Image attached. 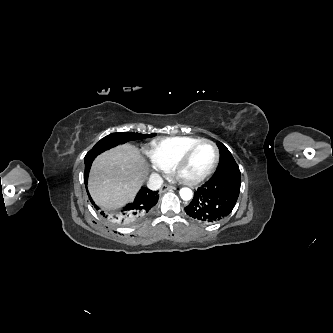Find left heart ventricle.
Returning a JSON list of instances; mask_svg holds the SVG:
<instances>
[{
  "label": "left heart ventricle",
  "mask_w": 333,
  "mask_h": 333,
  "mask_svg": "<svg viewBox=\"0 0 333 333\" xmlns=\"http://www.w3.org/2000/svg\"><path fill=\"white\" fill-rule=\"evenodd\" d=\"M215 157L216 152L213 146L209 144L200 145L182 168L180 176L184 179H193L203 175L211 168Z\"/></svg>",
  "instance_id": "b2bd125f"
}]
</instances>
